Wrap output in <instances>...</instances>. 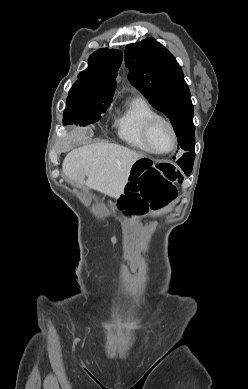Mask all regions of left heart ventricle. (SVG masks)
Returning <instances> with one entry per match:
<instances>
[{
	"label": "left heart ventricle",
	"instance_id": "left-heart-ventricle-1",
	"mask_svg": "<svg viewBox=\"0 0 248 389\" xmlns=\"http://www.w3.org/2000/svg\"><path fill=\"white\" fill-rule=\"evenodd\" d=\"M150 144L153 149L166 151L171 146L170 133L163 123H157L150 133Z\"/></svg>",
	"mask_w": 248,
	"mask_h": 389
}]
</instances>
